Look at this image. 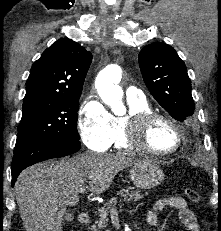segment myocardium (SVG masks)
<instances>
[{"label":"myocardium","instance_id":"myocardium-1","mask_svg":"<svg viewBox=\"0 0 221 231\" xmlns=\"http://www.w3.org/2000/svg\"><path fill=\"white\" fill-rule=\"evenodd\" d=\"M158 121L168 123L176 132L177 141L175 146L170 150L157 151L150 146L149 131L151 126ZM124 137L131 149H138L154 156L165 157L172 155L181 147L183 131L181 126L170 116L150 110L135 115H128L125 118Z\"/></svg>","mask_w":221,"mask_h":231}]
</instances>
